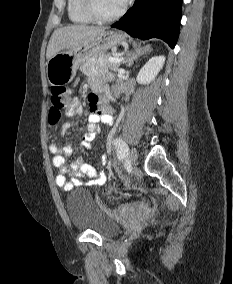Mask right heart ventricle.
Returning a JSON list of instances; mask_svg holds the SVG:
<instances>
[{
  "mask_svg": "<svg viewBox=\"0 0 233 284\" xmlns=\"http://www.w3.org/2000/svg\"><path fill=\"white\" fill-rule=\"evenodd\" d=\"M67 13L75 24L86 25L94 21L84 8V0H67Z\"/></svg>",
  "mask_w": 233,
  "mask_h": 284,
  "instance_id": "right-heart-ventricle-1",
  "label": "right heart ventricle"
}]
</instances>
